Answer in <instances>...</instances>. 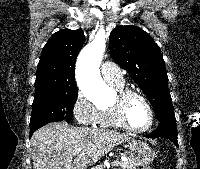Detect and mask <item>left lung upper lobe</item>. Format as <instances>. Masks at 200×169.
I'll use <instances>...</instances> for the list:
<instances>
[{
	"label": "left lung upper lobe",
	"mask_w": 200,
	"mask_h": 169,
	"mask_svg": "<svg viewBox=\"0 0 200 169\" xmlns=\"http://www.w3.org/2000/svg\"><path fill=\"white\" fill-rule=\"evenodd\" d=\"M109 43L112 58L145 93L159 122H176L165 62L152 37L137 26H119Z\"/></svg>",
	"instance_id": "5c2ea615"
}]
</instances>
